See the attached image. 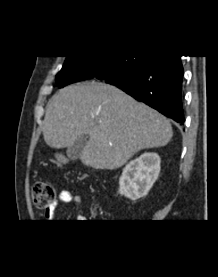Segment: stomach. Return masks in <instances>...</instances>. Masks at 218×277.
Returning <instances> with one entry per match:
<instances>
[{
  "instance_id": "obj_1",
  "label": "stomach",
  "mask_w": 218,
  "mask_h": 277,
  "mask_svg": "<svg viewBox=\"0 0 218 277\" xmlns=\"http://www.w3.org/2000/svg\"><path fill=\"white\" fill-rule=\"evenodd\" d=\"M56 157H57V159H59V160H62V159H63V157H62L61 154H57Z\"/></svg>"
}]
</instances>
